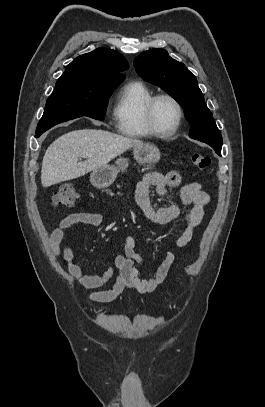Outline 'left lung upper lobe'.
Instances as JSON below:
<instances>
[{
    "mask_svg": "<svg viewBox=\"0 0 265 407\" xmlns=\"http://www.w3.org/2000/svg\"><path fill=\"white\" fill-rule=\"evenodd\" d=\"M138 74L145 80L161 87L183 108L191 125L189 136L222 147V136L198 87L196 77L181 62L171 58L166 50L151 49L134 60Z\"/></svg>",
    "mask_w": 265,
    "mask_h": 407,
    "instance_id": "5c2ea615",
    "label": "left lung upper lobe"
}]
</instances>
